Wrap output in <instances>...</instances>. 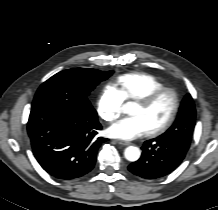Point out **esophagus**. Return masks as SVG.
<instances>
[{
    "instance_id": "obj_1",
    "label": "esophagus",
    "mask_w": 218,
    "mask_h": 210,
    "mask_svg": "<svg viewBox=\"0 0 218 210\" xmlns=\"http://www.w3.org/2000/svg\"><path fill=\"white\" fill-rule=\"evenodd\" d=\"M116 142L120 145H123V146H128L130 145L131 143L128 142V141H123V140H116Z\"/></svg>"
}]
</instances>
